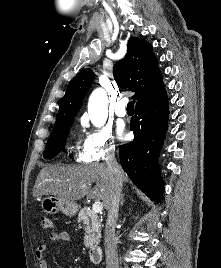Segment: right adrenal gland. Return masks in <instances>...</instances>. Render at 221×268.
I'll return each mask as SVG.
<instances>
[{
    "mask_svg": "<svg viewBox=\"0 0 221 268\" xmlns=\"http://www.w3.org/2000/svg\"><path fill=\"white\" fill-rule=\"evenodd\" d=\"M124 204V194L121 195V205L123 206Z\"/></svg>",
    "mask_w": 221,
    "mask_h": 268,
    "instance_id": "1",
    "label": "right adrenal gland"
}]
</instances>
